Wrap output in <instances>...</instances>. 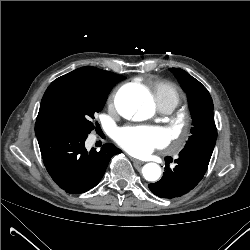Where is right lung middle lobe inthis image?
<instances>
[{
    "mask_svg": "<svg viewBox=\"0 0 250 250\" xmlns=\"http://www.w3.org/2000/svg\"><path fill=\"white\" fill-rule=\"evenodd\" d=\"M120 76L102 83L69 82L53 91L48 100L46 125L50 132H81L94 128V114L101 111Z\"/></svg>",
    "mask_w": 250,
    "mask_h": 250,
    "instance_id": "dd1d6c3e",
    "label": "right lung middle lobe"
}]
</instances>
